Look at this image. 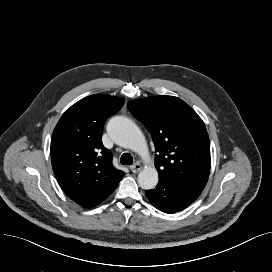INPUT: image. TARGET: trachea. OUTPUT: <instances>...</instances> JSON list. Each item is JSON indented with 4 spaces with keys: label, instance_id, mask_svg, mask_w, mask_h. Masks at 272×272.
<instances>
[{
    "label": "trachea",
    "instance_id": "3493384b",
    "mask_svg": "<svg viewBox=\"0 0 272 272\" xmlns=\"http://www.w3.org/2000/svg\"><path fill=\"white\" fill-rule=\"evenodd\" d=\"M120 162L123 165H132L133 157L129 153H123L121 156Z\"/></svg>",
    "mask_w": 272,
    "mask_h": 272
}]
</instances>
